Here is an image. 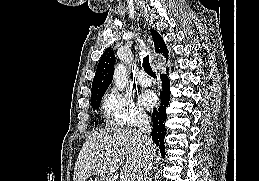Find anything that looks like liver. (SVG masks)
Returning a JSON list of instances; mask_svg holds the SVG:
<instances>
[{
  "instance_id": "obj_1",
  "label": "liver",
  "mask_w": 259,
  "mask_h": 181,
  "mask_svg": "<svg viewBox=\"0 0 259 181\" xmlns=\"http://www.w3.org/2000/svg\"><path fill=\"white\" fill-rule=\"evenodd\" d=\"M150 143L149 151L154 158L157 148L152 140ZM143 153V141L136 129L103 128L93 131L78 155L73 181H86L94 174L108 178L118 169L126 172L130 181H136Z\"/></svg>"
}]
</instances>
